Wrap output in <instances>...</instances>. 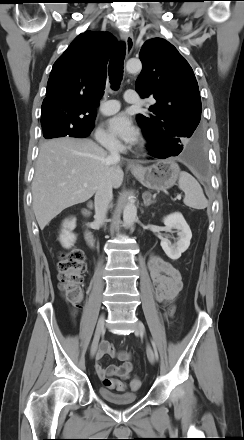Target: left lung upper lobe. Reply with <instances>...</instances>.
<instances>
[{
	"label": "left lung upper lobe",
	"mask_w": 244,
	"mask_h": 440,
	"mask_svg": "<svg viewBox=\"0 0 244 440\" xmlns=\"http://www.w3.org/2000/svg\"><path fill=\"white\" fill-rule=\"evenodd\" d=\"M142 71L136 80L141 97L152 96L151 115H137L143 132L166 146H182L184 138H198L202 105L198 83L188 62L162 38L145 42L140 54Z\"/></svg>",
	"instance_id": "left-lung-upper-lobe-1"
}]
</instances>
